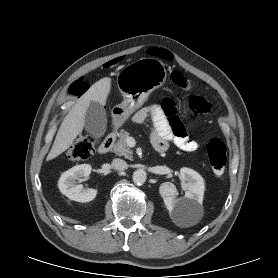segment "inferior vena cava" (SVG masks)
Listing matches in <instances>:
<instances>
[{
  "mask_svg": "<svg viewBox=\"0 0 278 278\" xmlns=\"http://www.w3.org/2000/svg\"><path fill=\"white\" fill-rule=\"evenodd\" d=\"M112 167L116 170L122 171L127 169V163L122 159L115 158L112 161Z\"/></svg>",
  "mask_w": 278,
  "mask_h": 278,
  "instance_id": "inferior-vena-cava-1",
  "label": "inferior vena cava"
}]
</instances>
